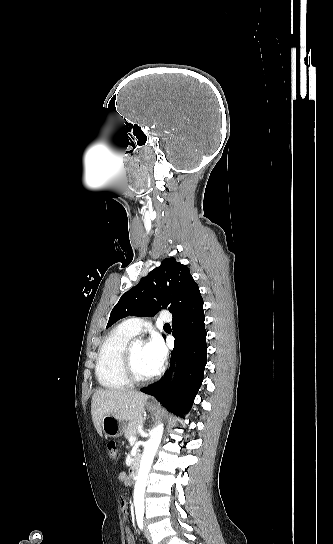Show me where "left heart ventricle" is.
I'll use <instances>...</instances> for the list:
<instances>
[{
  "mask_svg": "<svg viewBox=\"0 0 333 544\" xmlns=\"http://www.w3.org/2000/svg\"><path fill=\"white\" fill-rule=\"evenodd\" d=\"M132 356L135 371L140 377H148L155 373L147 360L143 343H133Z\"/></svg>",
  "mask_w": 333,
  "mask_h": 544,
  "instance_id": "left-heart-ventricle-1",
  "label": "left heart ventricle"
}]
</instances>
